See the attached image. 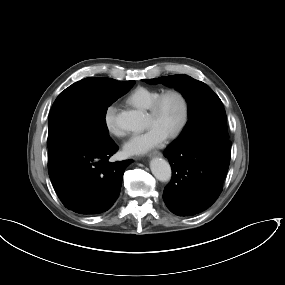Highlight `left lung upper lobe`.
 Listing matches in <instances>:
<instances>
[{
	"instance_id": "obj_1",
	"label": "left lung upper lobe",
	"mask_w": 285,
	"mask_h": 285,
	"mask_svg": "<svg viewBox=\"0 0 285 285\" xmlns=\"http://www.w3.org/2000/svg\"><path fill=\"white\" fill-rule=\"evenodd\" d=\"M173 86L187 100L189 120L180 136L168 147H180L190 142L217 137L229 140L226 113L220 98L205 83L188 75H171L146 80Z\"/></svg>"
}]
</instances>
